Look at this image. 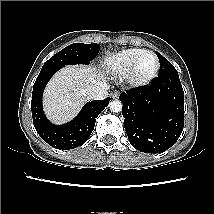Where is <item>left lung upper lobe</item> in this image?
<instances>
[{"instance_id": "1", "label": "left lung upper lobe", "mask_w": 214, "mask_h": 214, "mask_svg": "<svg viewBox=\"0 0 214 214\" xmlns=\"http://www.w3.org/2000/svg\"><path fill=\"white\" fill-rule=\"evenodd\" d=\"M158 59L160 61V70H159V76L160 75H167V74H175L177 75V71L174 68V66L166 59L164 58L160 53L156 52Z\"/></svg>"}]
</instances>
